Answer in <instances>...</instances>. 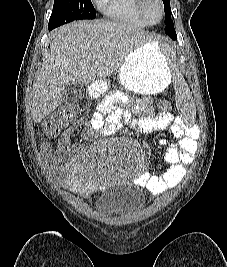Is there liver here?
I'll return each instance as SVG.
<instances>
[{
	"instance_id": "liver-1",
	"label": "liver",
	"mask_w": 227,
	"mask_h": 267,
	"mask_svg": "<svg viewBox=\"0 0 227 267\" xmlns=\"http://www.w3.org/2000/svg\"><path fill=\"white\" fill-rule=\"evenodd\" d=\"M152 40L137 26L115 21H77L57 28L33 85V121L41 122L59 107L66 85L89 86L104 80L120 69L133 50Z\"/></svg>"
}]
</instances>
